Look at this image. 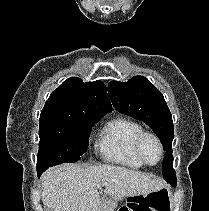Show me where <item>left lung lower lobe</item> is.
I'll return each instance as SVG.
<instances>
[{
	"label": "left lung lower lobe",
	"instance_id": "1",
	"mask_svg": "<svg viewBox=\"0 0 209 211\" xmlns=\"http://www.w3.org/2000/svg\"><path fill=\"white\" fill-rule=\"evenodd\" d=\"M167 182H169L172 186H176V175L173 177L164 178Z\"/></svg>",
	"mask_w": 209,
	"mask_h": 211
}]
</instances>
